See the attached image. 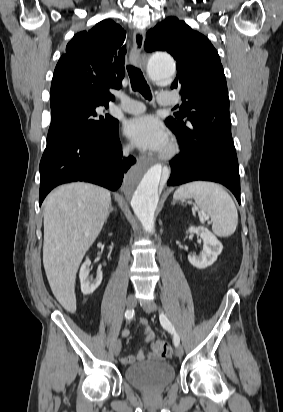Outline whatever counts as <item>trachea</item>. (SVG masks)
I'll list each match as a JSON object with an SVG mask.
<instances>
[{
  "instance_id": "obj_1",
  "label": "trachea",
  "mask_w": 283,
  "mask_h": 412,
  "mask_svg": "<svg viewBox=\"0 0 283 412\" xmlns=\"http://www.w3.org/2000/svg\"><path fill=\"white\" fill-rule=\"evenodd\" d=\"M127 71L130 77L132 90L140 92L144 98L151 100L152 94L141 70L132 65H128Z\"/></svg>"
}]
</instances>
